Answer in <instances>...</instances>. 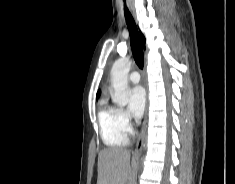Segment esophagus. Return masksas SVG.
Listing matches in <instances>:
<instances>
[{
	"label": "esophagus",
	"instance_id": "obj_1",
	"mask_svg": "<svg viewBox=\"0 0 235 184\" xmlns=\"http://www.w3.org/2000/svg\"><path fill=\"white\" fill-rule=\"evenodd\" d=\"M144 82H145V78H144ZM145 90H146V105H145V110H144V119H143L141 132H140V134L137 138V142H136V147H135V154L136 155H139L142 152L144 138H145V134H146L147 120H148L149 100H148V88L146 85H145Z\"/></svg>",
	"mask_w": 235,
	"mask_h": 184
}]
</instances>
